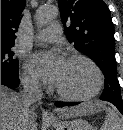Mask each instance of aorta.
Masks as SVG:
<instances>
[{"label":"aorta","instance_id":"762f6f07","mask_svg":"<svg viewBox=\"0 0 123 130\" xmlns=\"http://www.w3.org/2000/svg\"><path fill=\"white\" fill-rule=\"evenodd\" d=\"M59 10L55 6H41L36 11V19L40 25H45L57 17Z\"/></svg>","mask_w":123,"mask_h":130}]
</instances>
